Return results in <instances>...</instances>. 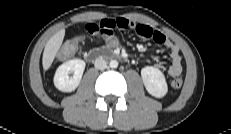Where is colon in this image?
Masks as SVG:
<instances>
[{"mask_svg": "<svg viewBox=\"0 0 231 134\" xmlns=\"http://www.w3.org/2000/svg\"><path fill=\"white\" fill-rule=\"evenodd\" d=\"M76 48H77V42L70 41L61 48L58 54V57L62 60L67 59L74 54V52L76 51ZM182 84H183V81L181 78H174L171 81V86L175 89H179L182 86Z\"/></svg>", "mask_w": 231, "mask_h": 134, "instance_id": "colon-1", "label": "colon"}]
</instances>
